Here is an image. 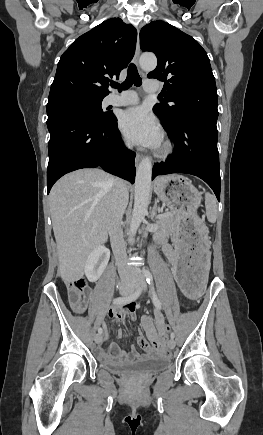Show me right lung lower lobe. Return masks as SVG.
I'll return each instance as SVG.
<instances>
[{"label":"right lung lower lobe","instance_id":"1","mask_svg":"<svg viewBox=\"0 0 263 435\" xmlns=\"http://www.w3.org/2000/svg\"><path fill=\"white\" fill-rule=\"evenodd\" d=\"M109 114L103 120L85 114H67L47 121L48 193L60 177L80 168L102 167L134 183L136 154L123 146L117 119Z\"/></svg>","mask_w":263,"mask_h":435}]
</instances>
